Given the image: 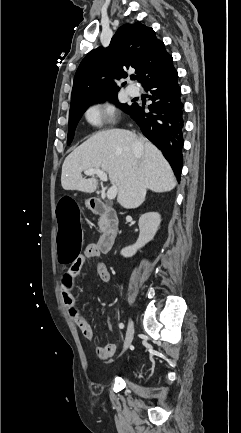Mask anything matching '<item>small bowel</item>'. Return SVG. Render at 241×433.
<instances>
[{
    "label": "small bowel",
    "instance_id": "obj_1",
    "mask_svg": "<svg viewBox=\"0 0 241 433\" xmlns=\"http://www.w3.org/2000/svg\"><path fill=\"white\" fill-rule=\"evenodd\" d=\"M100 256H101V252L98 249V245L95 243L89 244L85 248L83 255L78 256L77 261H74L73 265H71L69 270H68V271L74 272L75 276L73 279V283L75 282L85 260L89 259V258H98ZM95 267H96V270H97V273H98L100 279L104 282H108L111 278V274H110V271H109L108 267L106 266V264L103 263L102 261L97 260L95 262ZM65 280L66 279L64 276L62 283H61V293H62V299H63V303L65 305V308H66L69 316L71 317V319L75 323V325L81 331L84 338L87 340H92L94 337L93 328L87 322V320L83 317V315L80 313V311H79V309L75 303V300L73 298L72 293L67 292L66 289L64 288L63 284H64ZM109 327H111L110 323H109ZM115 351H116V345L113 343H108L104 346H98L95 348L96 356L100 360H103V361L110 359L114 355Z\"/></svg>",
    "mask_w": 241,
    "mask_h": 433
}]
</instances>
